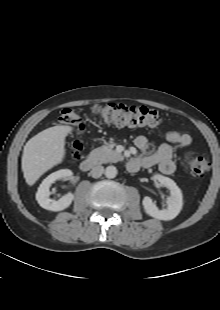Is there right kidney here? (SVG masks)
<instances>
[{
	"label": "right kidney",
	"mask_w": 220,
	"mask_h": 310,
	"mask_svg": "<svg viewBox=\"0 0 220 310\" xmlns=\"http://www.w3.org/2000/svg\"><path fill=\"white\" fill-rule=\"evenodd\" d=\"M71 176L72 171L69 169H61L47 176L40 184L36 193V200L38 204L42 208L51 211H62L68 208L74 199V195L72 193H68L62 196L58 201H55L49 198V189L51 184L54 183L56 180L62 178L70 179Z\"/></svg>",
	"instance_id": "1"
}]
</instances>
